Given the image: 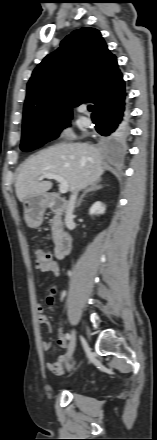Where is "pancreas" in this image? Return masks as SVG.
Instances as JSON below:
<instances>
[{
	"label": "pancreas",
	"mask_w": 157,
	"mask_h": 440,
	"mask_svg": "<svg viewBox=\"0 0 157 440\" xmlns=\"http://www.w3.org/2000/svg\"><path fill=\"white\" fill-rule=\"evenodd\" d=\"M62 221L58 214L54 216L51 221V229H52V238L53 241H56L59 234L61 233Z\"/></svg>",
	"instance_id": "cf45deb5"
}]
</instances>
